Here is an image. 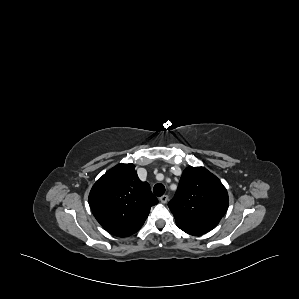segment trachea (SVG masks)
Segmentation results:
<instances>
[{
    "label": "trachea",
    "mask_w": 299,
    "mask_h": 299,
    "mask_svg": "<svg viewBox=\"0 0 299 299\" xmlns=\"http://www.w3.org/2000/svg\"><path fill=\"white\" fill-rule=\"evenodd\" d=\"M153 192L156 196L160 197L165 193V186L163 184H156L153 188Z\"/></svg>",
    "instance_id": "trachea-1"
}]
</instances>
